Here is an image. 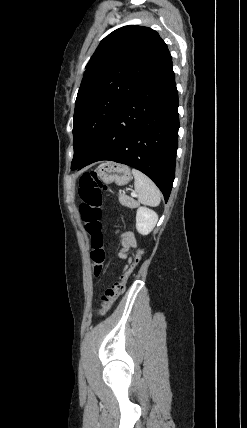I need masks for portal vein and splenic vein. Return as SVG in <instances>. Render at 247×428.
I'll return each instance as SVG.
<instances>
[{"label": "portal vein and splenic vein", "instance_id": "obj_1", "mask_svg": "<svg viewBox=\"0 0 247 428\" xmlns=\"http://www.w3.org/2000/svg\"><path fill=\"white\" fill-rule=\"evenodd\" d=\"M131 195H132V196H136V194H135V192H134V191H133V192H131Z\"/></svg>", "mask_w": 247, "mask_h": 428}]
</instances>
